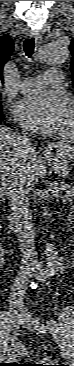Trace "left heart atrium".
I'll list each match as a JSON object with an SVG mask.
<instances>
[{
	"mask_svg": "<svg viewBox=\"0 0 74 366\" xmlns=\"http://www.w3.org/2000/svg\"><path fill=\"white\" fill-rule=\"evenodd\" d=\"M66 97L58 91H49L21 99L14 108V115L22 125L42 132L62 131L69 113Z\"/></svg>",
	"mask_w": 74,
	"mask_h": 366,
	"instance_id": "obj_1",
	"label": "left heart atrium"
}]
</instances>
